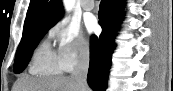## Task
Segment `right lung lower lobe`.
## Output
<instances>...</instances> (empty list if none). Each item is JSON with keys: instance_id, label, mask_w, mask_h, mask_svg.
Here are the masks:
<instances>
[{"instance_id": "right-lung-lower-lobe-1", "label": "right lung lower lobe", "mask_w": 173, "mask_h": 91, "mask_svg": "<svg viewBox=\"0 0 173 91\" xmlns=\"http://www.w3.org/2000/svg\"><path fill=\"white\" fill-rule=\"evenodd\" d=\"M124 0H102L98 13L102 33L93 35L90 44V64L87 81L94 91H105L112 52L116 46L115 36L123 18Z\"/></svg>"}]
</instances>
